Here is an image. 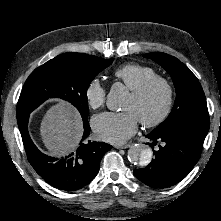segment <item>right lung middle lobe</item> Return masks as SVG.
Wrapping results in <instances>:
<instances>
[{
  "mask_svg": "<svg viewBox=\"0 0 221 221\" xmlns=\"http://www.w3.org/2000/svg\"><path fill=\"white\" fill-rule=\"evenodd\" d=\"M113 60L92 55L78 60L63 54L49 60L26 80L17 104V120L30 114L48 98L57 97L74 105L83 121H87L89 84Z\"/></svg>",
  "mask_w": 221,
  "mask_h": 221,
  "instance_id": "dd1d6c3e",
  "label": "right lung middle lobe"
}]
</instances>
